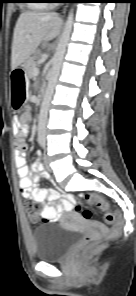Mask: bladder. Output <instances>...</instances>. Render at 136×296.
<instances>
[{
    "label": "bladder",
    "mask_w": 136,
    "mask_h": 296,
    "mask_svg": "<svg viewBox=\"0 0 136 296\" xmlns=\"http://www.w3.org/2000/svg\"><path fill=\"white\" fill-rule=\"evenodd\" d=\"M78 231L49 222L33 230L34 255L38 261L53 262L62 259L77 242Z\"/></svg>",
    "instance_id": "bladder-1"
}]
</instances>
